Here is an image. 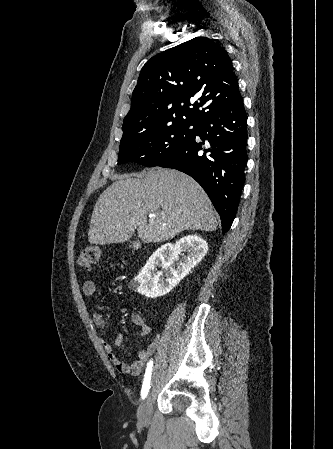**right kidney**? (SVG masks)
<instances>
[{
	"instance_id": "right-kidney-1",
	"label": "right kidney",
	"mask_w": 333,
	"mask_h": 449,
	"mask_svg": "<svg viewBox=\"0 0 333 449\" xmlns=\"http://www.w3.org/2000/svg\"><path fill=\"white\" fill-rule=\"evenodd\" d=\"M208 251L207 242L198 235L181 238L173 246L165 244L158 248L149 258L137 276V291L147 298H157L168 294L191 270L204 258ZM182 252L187 255L173 268ZM160 266L165 271L155 272Z\"/></svg>"
}]
</instances>
